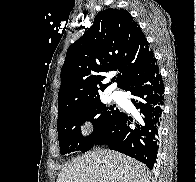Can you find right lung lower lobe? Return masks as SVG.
Instances as JSON below:
<instances>
[{
    "mask_svg": "<svg viewBox=\"0 0 196 182\" xmlns=\"http://www.w3.org/2000/svg\"><path fill=\"white\" fill-rule=\"evenodd\" d=\"M125 90L134 95L132 103L140 109V118L133 120L120 111L94 145L107 144L152 170L157 159L164 106V84L156 59Z\"/></svg>",
    "mask_w": 196,
    "mask_h": 182,
    "instance_id": "right-lung-lower-lobe-1",
    "label": "right lung lower lobe"
}]
</instances>
